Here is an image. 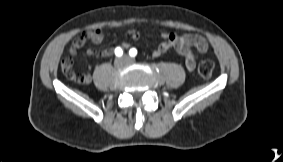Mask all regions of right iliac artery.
I'll return each mask as SVG.
<instances>
[{"label":"right iliac artery","instance_id":"1","mask_svg":"<svg viewBox=\"0 0 283 162\" xmlns=\"http://www.w3.org/2000/svg\"><path fill=\"white\" fill-rule=\"evenodd\" d=\"M115 55L118 56V57L122 56L123 55V50L120 47H117L115 49Z\"/></svg>","mask_w":283,"mask_h":162}]
</instances>
